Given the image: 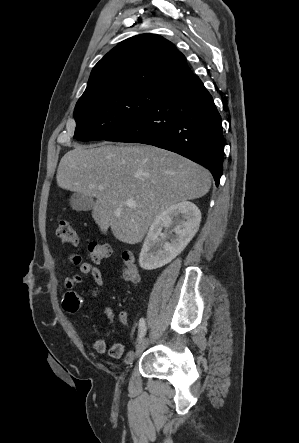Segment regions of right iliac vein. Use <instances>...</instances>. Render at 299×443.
<instances>
[{"mask_svg":"<svg viewBox=\"0 0 299 443\" xmlns=\"http://www.w3.org/2000/svg\"><path fill=\"white\" fill-rule=\"evenodd\" d=\"M149 343V339L148 338H144L143 340H141L139 342V344L136 347V352H135V357H138L139 355L142 354V352L146 349V347L148 346Z\"/></svg>","mask_w":299,"mask_h":443,"instance_id":"obj_1","label":"right iliac vein"}]
</instances>
